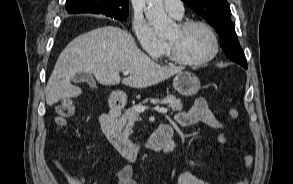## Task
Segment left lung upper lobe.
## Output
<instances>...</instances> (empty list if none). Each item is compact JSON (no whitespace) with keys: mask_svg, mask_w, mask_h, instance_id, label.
I'll return each instance as SVG.
<instances>
[{"mask_svg":"<svg viewBox=\"0 0 293 184\" xmlns=\"http://www.w3.org/2000/svg\"><path fill=\"white\" fill-rule=\"evenodd\" d=\"M182 1L213 25L228 58L236 63L247 62L231 21L230 5L227 0Z\"/></svg>","mask_w":293,"mask_h":184,"instance_id":"left-lung-upper-lobe-1","label":"left lung upper lobe"}]
</instances>
